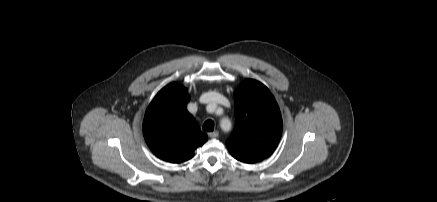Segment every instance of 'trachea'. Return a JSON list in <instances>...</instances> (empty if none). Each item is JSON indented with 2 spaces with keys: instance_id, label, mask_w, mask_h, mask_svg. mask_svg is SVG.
Here are the masks:
<instances>
[{
  "instance_id": "obj_1",
  "label": "trachea",
  "mask_w": 437,
  "mask_h": 202,
  "mask_svg": "<svg viewBox=\"0 0 437 202\" xmlns=\"http://www.w3.org/2000/svg\"><path fill=\"white\" fill-rule=\"evenodd\" d=\"M202 128H203V130H205L207 132H211L214 130V122L212 120H207L204 122Z\"/></svg>"
}]
</instances>
